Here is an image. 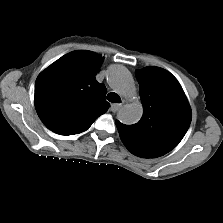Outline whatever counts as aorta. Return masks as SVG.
Wrapping results in <instances>:
<instances>
[{"mask_svg":"<svg viewBox=\"0 0 223 223\" xmlns=\"http://www.w3.org/2000/svg\"><path fill=\"white\" fill-rule=\"evenodd\" d=\"M109 85L124 97L132 96L135 91V83L130 71L122 65H112L107 74ZM143 114V107L140 102H132L124 105L118 112L120 122L131 125L137 123Z\"/></svg>","mask_w":223,"mask_h":223,"instance_id":"1","label":"aorta"}]
</instances>
